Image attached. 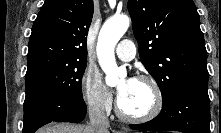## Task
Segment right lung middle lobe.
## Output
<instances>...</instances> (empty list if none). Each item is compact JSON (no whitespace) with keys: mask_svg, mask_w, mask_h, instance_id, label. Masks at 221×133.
I'll use <instances>...</instances> for the list:
<instances>
[{"mask_svg":"<svg viewBox=\"0 0 221 133\" xmlns=\"http://www.w3.org/2000/svg\"><path fill=\"white\" fill-rule=\"evenodd\" d=\"M85 68L86 61L46 67L26 75L25 86L34 85L50 93L82 98L81 80Z\"/></svg>","mask_w":221,"mask_h":133,"instance_id":"obj_1","label":"right lung middle lobe"}]
</instances>
